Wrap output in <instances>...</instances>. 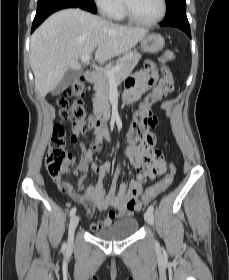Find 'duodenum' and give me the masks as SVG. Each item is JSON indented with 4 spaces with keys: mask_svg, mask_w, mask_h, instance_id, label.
<instances>
[{
    "mask_svg": "<svg viewBox=\"0 0 229 280\" xmlns=\"http://www.w3.org/2000/svg\"><path fill=\"white\" fill-rule=\"evenodd\" d=\"M84 78L86 79V81L92 83L95 82L97 80V74L96 72L92 71V70H87L84 73ZM108 117L104 116V115H96L95 116V122H96V126L98 128H103L104 124L107 122Z\"/></svg>",
    "mask_w": 229,
    "mask_h": 280,
    "instance_id": "1",
    "label": "duodenum"
}]
</instances>
